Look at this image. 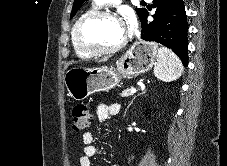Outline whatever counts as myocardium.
<instances>
[{
    "label": "myocardium",
    "mask_w": 227,
    "mask_h": 166,
    "mask_svg": "<svg viewBox=\"0 0 227 166\" xmlns=\"http://www.w3.org/2000/svg\"><path fill=\"white\" fill-rule=\"evenodd\" d=\"M101 18H109V19H115L120 21L122 20L121 16L118 13H115L112 11H105V10H95L83 16L77 22L74 28L73 40L75 45L79 50L91 56L110 55L118 52L119 50L124 48L127 44L128 36H126L121 43L111 48H101V47L90 45L87 42H85V40L82 37V29L88 23Z\"/></svg>",
    "instance_id": "myocardium-1"
}]
</instances>
